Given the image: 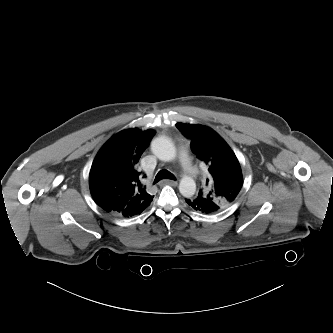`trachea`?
Segmentation results:
<instances>
[{
  "instance_id": "1",
  "label": "trachea",
  "mask_w": 333,
  "mask_h": 333,
  "mask_svg": "<svg viewBox=\"0 0 333 333\" xmlns=\"http://www.w3.org/2000/svg\"><path fill=\"white\" fill-rule=\"evenodd\" d=\"M162 179L176 180L175 176L171 172H169L168 170H165V169H163L157 173L154 183H157Z\"/></svg>"
}]
</instances>
